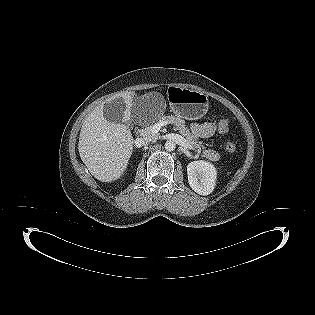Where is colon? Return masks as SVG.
I'll list each match as a JSON object with an SVG mask.
<instances>
[{"instance_id": "5ec220e1", "label": "colon", "mask_w": 315, "mask_h": 315, "mask_svg": "<svg viewBox=\"0 0 315 315\" xmlns=\"http://www.w3.org/2000/svg\"><path fill=\"white\" fill-rule=\"evenodd\" d=\"M229 127H230L229 122L225 119L220 120L217 124V128H218L219 132H221V133H227L229 131ZM226 149L229 152H235L237 147L233 142H228L226 144Z\"/></svg>"}]
</instances>
